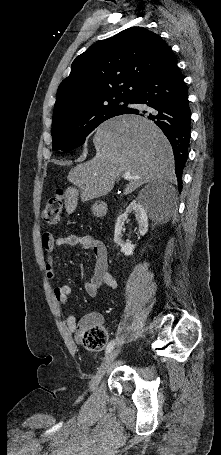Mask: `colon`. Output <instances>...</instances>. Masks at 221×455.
I'll use <instances>...</instances> for the list:
<instances>
[{
    "label": "colon",
    "mask_w": 221,
    "mask_h": 455,
    "mask_svg": "<svg viewBox=\"0 0 221 455\" xmlns=\"http://www.w3.org/2000/svg\"><path fill=\"white\" fill-rule=\"evenodd\" d=\"M63 192L59 190L50 197L42 210L43 221L47 225H56L59 222L63 209ZM107 343V332L98 322H92L84 328L83 344L86 349L91 351L102 350Z\"/></svg>",
    "instance_id": "5ec220e1"
}]
</instances>
